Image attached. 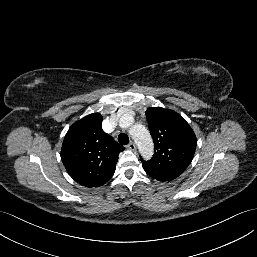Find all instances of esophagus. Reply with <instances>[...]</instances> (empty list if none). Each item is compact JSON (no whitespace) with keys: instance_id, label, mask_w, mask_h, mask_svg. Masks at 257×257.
Returning <instances> with one entry per match:
<instances>
[{"instance_id":"1","label":"esophagus","mask_w":257,"mask_h":257,"mask_svg":"<svg viewBox=\"0 0 257 257\" xmlns=\"http://www.w3.org/2000/svg\"><path fill=\"white\" fill-rule=\"evenodd\" d=\"M127 149L131 150V151H135L136 150V145L134 142H130L128 145H127Z\"/></svg>"}]
</instances>
